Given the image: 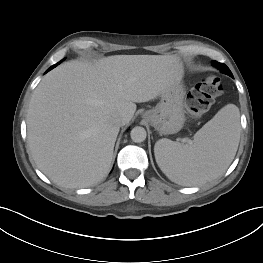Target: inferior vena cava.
Wrapping results in <instances>:
<instances>
[{
  "mask_svg": "<svg viewBox=\"0 0 263 263\" xmlns=\"http://www.w3.org/2000/svg\"><path fill=\"white\" fill-rule=\"evenodd\" d=\"M113 122L118 126H122L125 123V119L122 116H115Z\"/></svg>",
  "mask_w": 263,
  "mask_h": 263,
  "instance_id": "inferior-vena-cava-1",
  "label": "inferior vena cava"
}]
</instances>
